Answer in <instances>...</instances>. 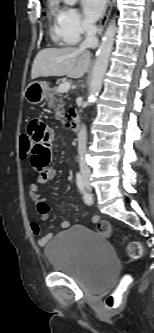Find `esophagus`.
I'll use <instances>...</instances> for the list:
<instances>
[{
	"mask_svg": "<svg viewBox=\"0 0 154 333\" xmlns=\"http://www.w3.org/2000/svg\"><path fill=\"white\" fill-rule=\"evenodd\" d=\"M113 2H114V0H108L106 9H105L104 14H103V16L100 20V23H99L98 35L101 34V32L103 31V29L105 28V26L108 22V19H109V16L111 14V10H112Z\"/></svg>",
	"mask_w": 154,
	"mask_h": 333,
	"instance_id": "obj_1",
	"label": "esophagus"
}]
</instances>
